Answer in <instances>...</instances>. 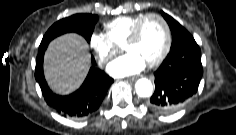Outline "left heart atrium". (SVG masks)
<instances>
[{
    "label": "left heart atrium",
    "instance_id": "left-heart-atrium-1",
    "mask_svg": "<svg viewBox=\"0 0 236 135\" xmlns=\"http://www.w3.org/2000/svg\"><path fill=\"white\" fill-rule=\"evenodd\" d=\"M145 62L134 53H127L108 65V73L113 77H126L143 70Z\"/></svg>",
    "mask_w": 236,
    "mask_h": 135
}]
</instances>
